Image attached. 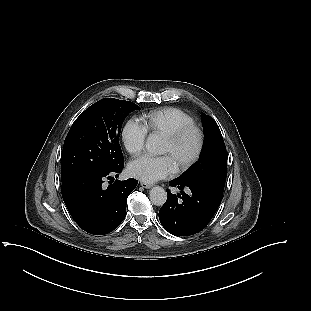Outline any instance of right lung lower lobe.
<instances>
[{
  "mask_svg": "<svg viewBox=\"0 0 311 311\" xmlns=\"http://www.w3.org/2000/svg\"><path fill=\"white\" fill-rule=\"evenodd\" d=\"M120 166L104 171L79 173L62 182V196L75 222L86 232L94 235L110 233L126 216V201L138 184L130 178L115 180L123 169ZM108 179L106 188L104 182Z\"/></svg>",
  "mask_w": 311,
  "mask_h": 311,
  "instance_id": "right-lung-lower-lobe-1",
  "label": "right lung lower lobe"
}]
</instances>
